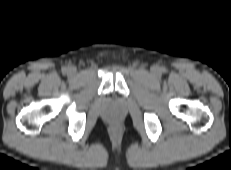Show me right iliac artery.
<instances>
[{
  "label": "right iliac artery",
  "instance_id": "82829eb1",
  "mask_svg": "<svg viewBox=\"0 0 231 170\" xmlns=\"http://www.w3.org/2000/svg\"><path fill=\"white\" fill-rule=\"evenodd\" d=\"M62 71H63V72H67V68H66V67H63V68H62Z\"/></svg>",
  "mask_w": 231,
  "mask_h": 170
}]
</instances>
